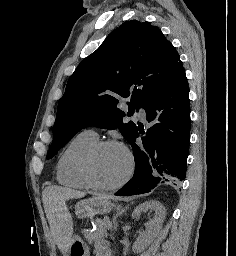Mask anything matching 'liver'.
Returning a JSON list of instances; mask_svg holds the SVG:
<instances>
[{
    "mask_svg": "<svg viewBox=\"0 0 236 256\" xmlns=\"http://www.w3.org/2000/svg\"><path fill=\"white\" fill-rule=\"evenodd\" d=\"M42 196L47 220L50 224L52 232H55L57 212L61 210L59 206H56L59 200H62V202H64V200H70V198H83L85 194L84 192H76V190H70V188H58V186H48V188H45ZM69 222L70 228H72L71 220H69ZM59 248L61 252H63L61 244H59Z\"/></svg>",
    "mask_w": 236,
    "mask_h": 256,
    "instance_id": "6515ba94",
    "label": "liver"
}]
</instances>
